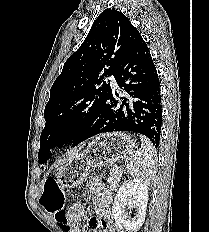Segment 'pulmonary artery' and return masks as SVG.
<instances>
[{"label":"pulmonary artery","instance_id":"obj_1","mask_svg":"<svg viewBox=\"0 0 209 232\" xmlns=\"http://www.w3.org/2000/svg\"><path fill=\"white\" fill-rule=\"evenodd\" d=\"M109 80H110L111 87L113 89H118V85H117V82H116L115 78L114 77H110Z\"/></svg>","mask_w":209,"mask_h":232}]
</instances>
